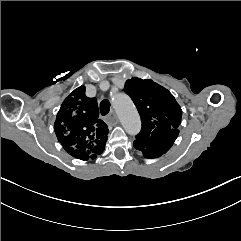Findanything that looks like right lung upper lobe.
I'll return each instance as SVG.
<instances>
[{
    "label": "right lung upper lobe",
    "mask_w": 241,
    "mask_h": 241,
    "mask_svg": "<svg viewBox=\"0 0 241 241\" xmlns=\"http://www.w3.org/2000/svg\"><path fill=\"white\" fill-rule=\"evenodd\" d=\"M54 130L65 151L79 160L95 159L105 149L108 127L99 118L96 98L87 97L84 86L63 101Z\"/></svg>",
    "instance_id": "right-lung-upper-lobe-1"
}]
</instances>
